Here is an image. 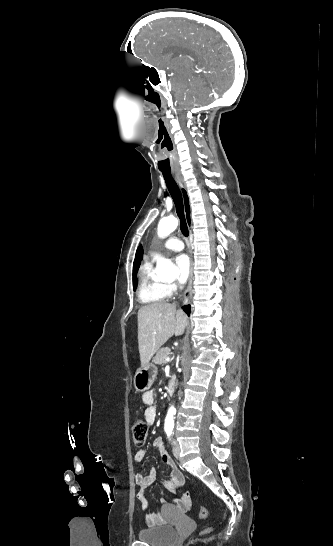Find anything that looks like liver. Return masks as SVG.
Wrapping results in <instances>:
<instances>
[{
  "instance_id": "liver-1",
  "label": "liver",
  "mask_w": 333,
  "mask_h": 546,
  "mask_svg": "<svg viewBox=\"0 0 333 546\" xmlns=\"http://www.w3.org/2000/svg\"><path fill=\"white\" fill-rule=\"evenodd\" d=\"M187 317L170 303H152L138 311V344L141 366L146 367L153 355L173 335L183 334Z\"/></svg>"
}]
</instances>
